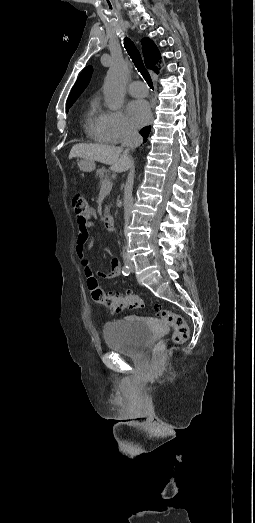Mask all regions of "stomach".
<instances>
[{"mask_svg":"<svg viewBox=\"0 0 255 523\" xmlns=\"http://www.w3.org/2000/svg\"><path fill=\"white\" fill-rule=\"evenodd\" d=\"M78 166L82 172H93V170H95V164L93 160H81Z\"/></svg>","mask_w":255,"mask_h":523,"instance_id":"0dacf381","label":"stomach"}]
</instances>
